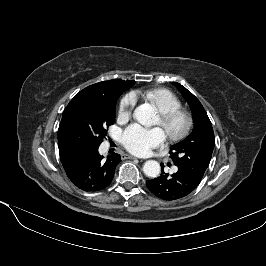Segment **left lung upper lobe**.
<instances>
[{
  "instance_id": "1",
  "label": "left lung upper lobe",
  "mask_w": 266,
  "mask_h": 266,
  "mask_svg": "<svg viewBox=\"0 0 266 266\" xmlns=\"http://www.w3.org/2000/svg\"><path fill=\"white\" fill-rule=\"evenodd\" d=\"M179 88L190 105L194 128L183 141L170 147V155L178 168L201 181L207 169L215 146V137L210 119L200 101L181 84L172 82Z\"/></svg>"
}]
</instances>
